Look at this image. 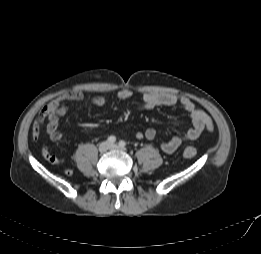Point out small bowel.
<instances>
[{"instance_id": "c3829d8e", "label": "small bowel", "mask_w": 261, "mask_h": 254, "mask_svg": "<svg viewBox=\"0 0 261 254\" xmlns=\"http://www.w3.org/2000/svg\"><path fill=\"white\" fill-rule=\"evenodd\" d=\"M118 98L128 99L132 96L129 89H121L117 93ZM84 93L79 90L64 92L51 101H49L40 111L37 119L32 124V140L38 141L41 129L45 121H47L46 131L52 141H59L63 138L62 132L59 130V120L68 112L66 102L82 101ZM91 101L97 106H104L106 99L102 95H95ZM180 105L189 115L192 127L187 131L164 141L160 148L164 153L171 154L175 152L184 141H193L199 138L203 131H211L213 123L210 117L201 109L197 108L194 102L184 96H179L170 92H145L142 95V103L140 109L142 111L152 110L157 107ZM137 139L146 138L153 140L156 137L154 128H147L144 132L135 134ZM42 155L46 161L53 165H59L63 162L55 155L51 154L49 149L44 145L42 147Z\"/></svg>"}]
</instances>
